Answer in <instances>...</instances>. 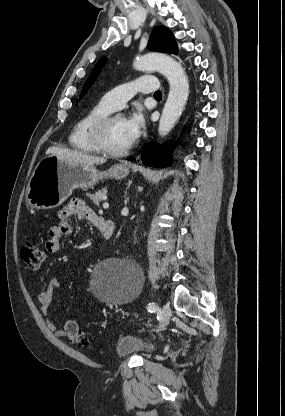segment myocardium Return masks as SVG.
<instances>
[{"mask_svg": "<svg viewBox=\"0 0 285 416\" xmlns=\"http://www.w3.org/2000/svg\"><path fill=\"white\" fill-rule=\"evenodd\" d=\"M115 118H123V116L120 113L110 111L95 121L90 130V139L97 152L112 157H119L127 153L132 145L130 143L125 148L119 150L112 149L107 145L105 140L106 130L110 122Z\"/></svg>", "mask_w": 285, "mask_h": 416, "instance_id": "obj_1", "label": "myocardium"}]
</instances>
